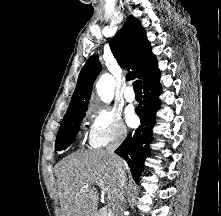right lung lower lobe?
<instances>
[{"mask_svg": "<svg viewBox=\"0 0 221 216\" xmlns=\"http://www.w3.org/2000/svg\"><path fill=\"white\" fill-rule=\"evenodd\" d=\"M159 78L160 72L143 84V101L137 107L141 125L115 150V153L128 163L134 180L140 177L144 168V160L149 154L155 114L161 104L158 99L162 90Z\"/></svg>", "mask_w": 221, "mask_h": 216, "instance_id": "right-lung-lower-lobe-1", "label": "right lung lower lobe"}]
</instances>
